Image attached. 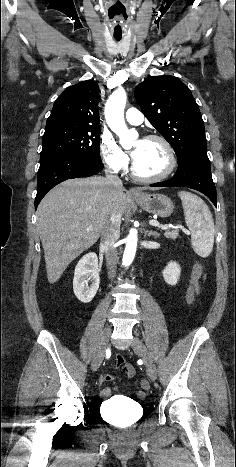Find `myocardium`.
<instances>
[{"label":"myocardium","instance_id":"obj_1","mask_svg":"<svg viewBox=\"0 0 236 467\" xmlns=\"http://www.w3.org/2000/svg\"><path fill=\"white\" fill-rule=\"evenodd\" d=\"M143 140L160 142L164 146L165 151L167 153L168 165H167V168L160 174L153 175V176H145V175L140 174L137 171L135 161L133 160L132 166H131L132 176L134 178H136L137 180H140L142 182H159V181H163V180L167 179L168 177H170L174 173V171L176 170V167H177L176 153H175L172 145L170 144V142L166 138H164L163 136H160V135H157V134L147 135L146 137H144Z\"/></svg>","mask_w":236,"mask_h":467}]
</instances>
